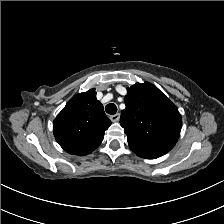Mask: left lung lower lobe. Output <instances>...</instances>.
Here are the masks:
<instances>
[{
  "instance_id": "left-lung-lower-lobe-1",
  "label": "left lung lower lobe",
  "mask_w": 224,
  "mask_h": 224,
  "mask_svg": "<svg viewBox=\"0 0 224 224\" xmlns=\"http://www.w3.org/2000/svg\"><path fill=\"white\" fill-rule=\"evenodd\" d=\"M140 157H143V158H146V159H154V158L146 157V156H140Z\"/></svg>"
}]
</instances>
